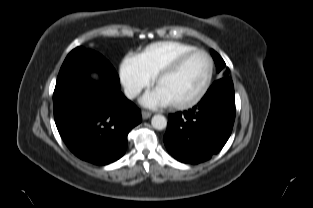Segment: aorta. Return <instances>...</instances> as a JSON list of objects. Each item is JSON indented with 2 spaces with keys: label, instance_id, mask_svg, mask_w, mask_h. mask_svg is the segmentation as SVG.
Listing matches in <instances>:
<instances>
[{
  "label": "aorta",
  "instance_id": "obj_1",
  "mask_svg": "<svg viewBox=\"0 0 313 208\" xmlns=\"http://www.w3.org/2000/svg\"><path fill=\"white\" fill-rule=\"evenodd\" d=\"M153 128L163 130L167 126V119L163 115H154L151 120Z\"/></svg>",
  "mask_w": 313,
  "mask_h": 208
}]
</instances>
